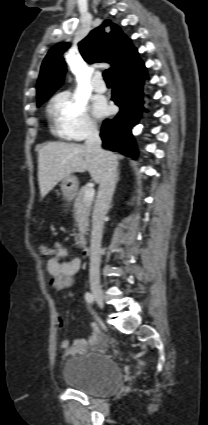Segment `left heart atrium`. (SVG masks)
I'll use <instances>...</instances> for the list:
<instances>
[{
    "instance_id": "1",
    "label": "left heart atrium",
    "mask_w": 208,
    "mask_h": 425,
    "mask_svg": "<svg viewBox=\"0 0 208 425\" xmlns=\"http://www.w3.org/2000/svg\"><path fill=\"white\" fill-rule=\"evenodd\" d=\"M94 113L97 116H104V115H107L109 113V108L104 101L97 100L94 103Z\"/></svg>"
}]
</instances>
